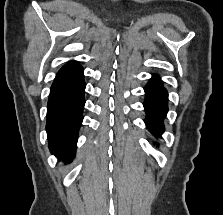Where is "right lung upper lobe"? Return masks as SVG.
<instances>
[{
    "label": "right lung upper lobe",
    "mask_w": 223,
    "mask_h": 215,
    "mask_svg": "<svg viewBox=\"0 0 223 215\" xmlns=\"http://www.w3.org/2000/svg\"><path fill=\"white\" fill-rule=\"evenodd\" d=\"M82 70V67L75 61L68 62L56 75L55 80L71 76Z\"/></svg>",
    "instance_id": "obj_1"
}]
</instances>
